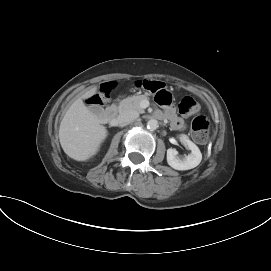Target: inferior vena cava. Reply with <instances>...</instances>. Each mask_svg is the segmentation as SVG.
<instances>
[{
  "label": "inferior vena cava",
  "mask_w": 271,
  "mask_h": 271,
  "mask_svg": "<svg viewBox=\"0 0 271 271\" xmlns=\"http://www.w3.org/2000/svg\"><path fill=\"white\" fill-rule=\"evenodd\" d=\"M139 116V114L135 111L132 110H127V111H123L121 112L118 117H117V121L119 124H126V123H130L132 121H134L135 119H137Z\"/></svg>",
  "instance_id": "inferior-vena-cava-1"
}]
</instances>
